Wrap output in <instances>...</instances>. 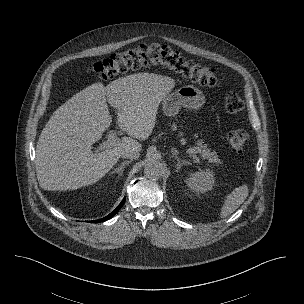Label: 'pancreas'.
I'll use <instances>...</instances> for the list:
<instances>
[{
    "label": "pancreas",
    "mask_w": 304,
    "mask_h": 304,
    "mask_svg": "<svg viewBox=\"0 0 304 304\" xmlns=\"http://www.w3.org/2000/svg\"><path fill=\"white\" fill-rule=\"evenodd\" d=\"M172 128L173 130H176V124L173 123ZM180 135H182V133H180ZM183 142H185L184 139ZM202 143V141L198 142V147L195 148V152L200 153L204 159H207L210 163H214L216 166L222 164L220 159H218L217 153L215 151H211L205 145H202Z\"/></svg>",
    "instance_id": "1"
}]
</instances>
